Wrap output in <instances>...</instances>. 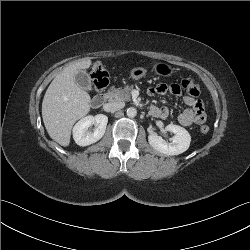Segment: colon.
Listing matches in <instances>:
<instances>
[{"mask_svg":"<svg viewBox=\"0 0 250 250\" xmlns=\"http://www.w3.org/2000/svg\"><path fill=\"white\" fill-rule=\"evenodd\" d=\"M91 79L96 91H102L107 87L109 83V74L101 63H95L92 66ZM179 85L190 97L195 98L200 94L198 84L191 78H183ZM201 132L208 133L209 127L207 125H202Z\"/></svg>","mask_w":250,"mask_h":250,"instance_id":"1","label":"colon"}]
</instances>
